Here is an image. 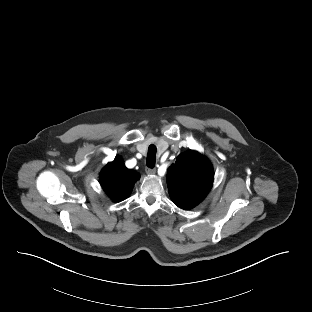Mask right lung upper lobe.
<instances>
[{
	"label": "right lung upper lobe",
	"mask_w": 312,
	"mask_h": 312,
	"mask_svg": "<svg viewBox=\"0 0 312 312\" xmlns=\"http://www.w3.org/2000/svg\"><path fill=\"white\" fill-rule=\"evenodd\" d=\"M139 179L137 171L125 167L120 157L108 163L100 173V184L113 201L120 202L131 193Z\"/></svg>",
	"instance_id": "1"
}]
</instances>
